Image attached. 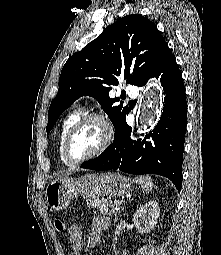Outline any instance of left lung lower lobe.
Returning a JSON list of instances; mask_svg holds the SVG:
<instances>
[{
    "label": "left lung lower lobe",
    "instance_id": "0a47b994",
    "mask_svg": "<svg viewBox=\"0 0 221 255\" xmlns=\"http://www.w3.org/2000/svg\"><path fill=\"white\" fill-rule=\"evenodd\" d=\"M151 77L160 78L165 94L163 113L153 132L133 144L130 139L132 129L127 124L125 115L115 127L112 145L81 167L162 175L170 179L180 192L187 102L181 72L168 46L163 49L143 85Z\"/></svg>",
    "mask_w": 221,
    "mask_h": 255
}]
</instances>
